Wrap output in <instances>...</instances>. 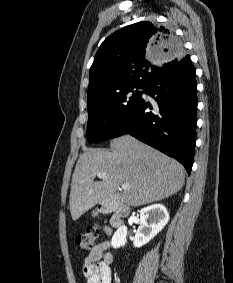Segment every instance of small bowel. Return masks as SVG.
<instances>
[{
  "instance_id": "c3829d8e",
  "label": "small bowel",
  "mask_w": 233,
  "mask_h": 283,
  "mask_svg": "<svg viewBox=\"0 0 233 283\" xmlns=\"http://www.w3.org/2000/svg\"><path fill=\"white\" fill-rule=\"evenodd\" d=\"M106 232L109 233V229ZM110 246L109 241H103L95 245L84 258L82 272L86 283H111L114 257L108 252Z\"/></svg>"
}]
</instances>
